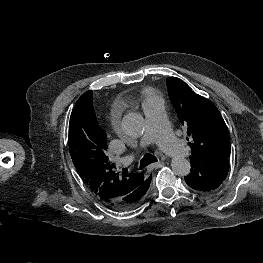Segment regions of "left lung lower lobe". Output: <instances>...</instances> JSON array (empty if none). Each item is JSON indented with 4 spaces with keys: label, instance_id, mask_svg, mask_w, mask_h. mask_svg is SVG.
Returning <instances> with one entry per match:
<instances>
[{
    "label": "left lung lower lobe",
    "instance_id": "left-lung-lower-lobe-1",
    "mask_svg": "<svg viewBox=\"0 0 263 263\" xmlns=\"http://www.w3.org/2000/svg\"><path fill=\"white\" fill-rule=\"evenodd\" d=\"M191 171L185 182L200 192H209L218 188L226 179L229 171V159L221 158L213 161L190 159Z\"/></svg>",
    "mask_w": 263,
    "mask_h": 263
}]
</instances>
